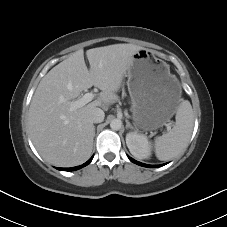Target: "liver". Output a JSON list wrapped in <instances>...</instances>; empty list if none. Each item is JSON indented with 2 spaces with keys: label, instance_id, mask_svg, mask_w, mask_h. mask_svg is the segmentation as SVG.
Returning <instances> with one entry per match:
<instances>
[{
  "label": "liver",
  "instance_id": "obj_1",
  "mask_svg": "<svg viewBox=\"0 0 227 227\" xmlns=\"http://www.w3.org/2000/svg\"><path fill=\"white\" fill-rule=\"evenodd\" d=\"M134 44H114L78 50L52 68L40 81L30 104L28 126L31 140L44 160L60 167L82 164L91 155L95 130L91 121L94 108L117 100L127 68L135 52ZM97 87L102 92L89 104L71 108L84 90Z\"/></svg>",
  "mask_w": 227,
  "mask_h": 227
}]
</instances>
